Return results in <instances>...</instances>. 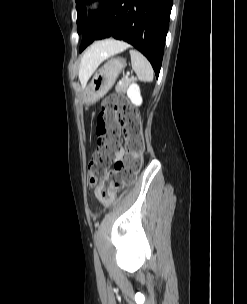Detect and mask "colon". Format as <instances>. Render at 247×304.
<instances>
[{"label": "colon", "instance_id": "1", "mask_svg": "<svg viewBox=\"0 0 247 304\" xmlns=\"http://www.w3.org/2000/svg\"><path fill=\"white\" fill-rule=\"evenodd\" d=\"M96 131L98 147L88 167L89 184L100 183L96 195L110 204L119 190L134 183L142 166L144 139L139 113L123 95L111 94L103 101ZM121 136L125 139V152L111 169Z\"/></svg>", "mask_w": 247, "mask_h": 304}]
</instances>
